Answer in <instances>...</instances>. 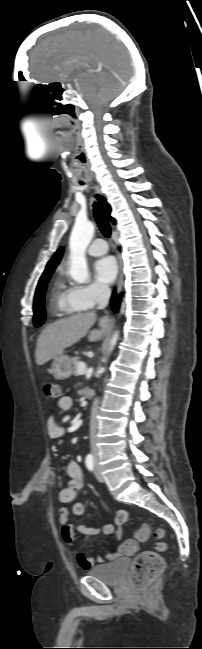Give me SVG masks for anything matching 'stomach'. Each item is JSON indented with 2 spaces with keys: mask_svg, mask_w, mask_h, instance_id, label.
Instances as JSON below:
<instances>
[{
  "mask_svg": "<svg viewBox=\"0 0 202 649\" xmlns=\"http://www.w3.org/2000/svg\"><path fill=\"white\" fill-rule=\"evenodd\" d=\"M72 359L67 355H60L54 358L50 373L57 380H65L73 374Z\"/></svg>",
  "mask_w": 202,
  "mask_h": 649,
  "instance_id": "stomach-1",
  "label": "stomach"
}]
</instances>
